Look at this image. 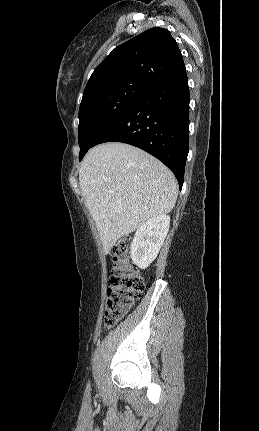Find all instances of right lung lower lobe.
<instances>
[{
	"label": "right lung lower lobe",
	"mask_w": 259,
	"mask_h": 431,
	"mask_svg": "<svg viewBox=\"0 0 259 431\" xmlns=\"http://www.w3.org/2000/svg\"><path fill=\"white\" fill-rule=\"evenodd\" d=\"M189 101L184 71L149 88L97 137L93 146L115 141L139 147L170 168L181 189L189 151Z\"/></svg>",
	"instance_id": "obj_1"
}]
</instances>
